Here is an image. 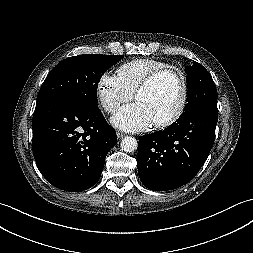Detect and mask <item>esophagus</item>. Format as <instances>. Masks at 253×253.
I'll return each instance as SVG.
<instances>
[{
  "instance_id": "1",
  "label": "esophagus",
  "mask_w": 253,
  "mask_h": 253,
  "mask_svg": "<svg viewBox=\"0 0 253 253\" xmlns=\"http://www.w3.org/2000/svg\"><path fill=\"white\" fill-rule=\"evenodd\" d=\"M116 135H117V138H118V139H121V138L124 137V134H123L122 132H120V131H117V132H116Z\"/></svg>"
}]
</instances>
